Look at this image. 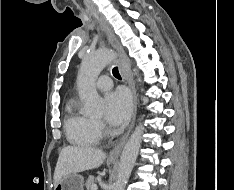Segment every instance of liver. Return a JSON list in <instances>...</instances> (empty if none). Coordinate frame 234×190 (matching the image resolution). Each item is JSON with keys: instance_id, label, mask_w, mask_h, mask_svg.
<instances>
[{"instance_id": "1", "label": "liver", "mask_w": 234, "mask_h": 190, "mask_svg": "<svg viewBox=\"0 0 234 190\" xmlns=\"http://www.w3.org/2000/svg\"><path fill=\"white\" fill-rule=\"evenodd\" d=\"M106 154L96 148L83 146H66L60 154L54 171V187L68 174L98 168Z\"/></svg>"}]
</instances>
